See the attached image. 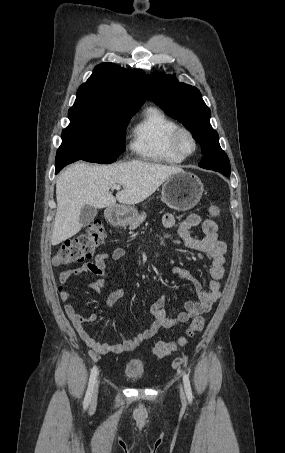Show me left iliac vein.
<instances>
[{
	"label": "left iliac vein",
	"instance_id": "left-iliac-vein-1",
	"mask_svg": "<svg viewBox=\"0 0 285 453\" xmlns=\"http://www.w3.org/2000/svg\"><path fill=\"white\" fill-rule=\"evenodd\" d=\"M180 396H181L182 401H185V395H184V391H183L182 387H180Z\"/></svg>",
	"mask_w": 285,
	"mask_h": 453
}]
</instances>
